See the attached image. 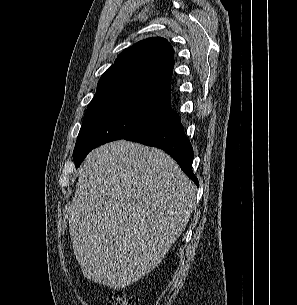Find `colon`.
<instances>
[{"mask_svg": "<svg viewBox=\"0 0 297 305\" xmlns=\"http://www.w3.org/2000/svg\"><path fill=\"white\" fill-rule=\"evenodd\" d=\"M107 305H140L138 297L127 295L124 288L116 289L109 295Z\"/></svg>", "mask_w": 297, "mask_h": 305, "instance_id": "5ec220e1", "label": "colon"}]
</instances>
